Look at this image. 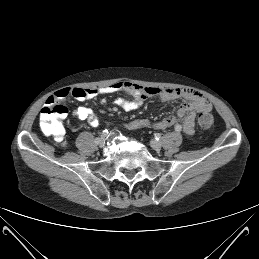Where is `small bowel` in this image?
<instances>
[{
  "label": "small bowel",
  "mask_w": 259,
  "mask_h": 259,
  "mask_svg": "<svg viewBox=\"0 0 259 259\" xmlns=\"http://www.w3.org/2000/svg\"><path fill=\"white\" fill-rule=\"evenodd\" d=\"M118 91H126L131 95V99L119 98L115 100V105L126 112L138 109L143 102L151 97L158 96L163 101L183 99L176 113L164 117L160 121L152 122L147 118H136L129 121L125 127L128 130L150 127L158 130H164L174 126L179 120L181 128L188 135L195 133V120L199 113L210 112L211 104L199 92L188 88H157L144 87L132 82H117L101 88H64L55 92L48 98L49 100H62L72 96L80 101L93 99L102 95L112 94ZM73 116L79 120L87 121L91 126L99 125L98 116L88 107L80 106L73 111Z\"/></svg>",
  "instance_id": "obj_1"
}]
</instances>
